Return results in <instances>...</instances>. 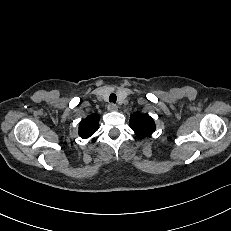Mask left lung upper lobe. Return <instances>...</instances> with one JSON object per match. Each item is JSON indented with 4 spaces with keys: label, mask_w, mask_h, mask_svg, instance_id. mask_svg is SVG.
<instances>
[{
    "label": "left lung upper lobe",
    "mask_w": 231,
    "mask_h": 231,
    "mask_svg": "<svg viewBox=\"0 0 231 231\" xmlns=\"http://www.w3.org/2000/svg\"><path fill=\"white\" fill-rule=\"evenodd\" d=\"M130 127L139 137H146L155 130V123L148 114L135 113L130 117Z\"/></svg>",
    "instance_id": "1"
}]
</instances>
